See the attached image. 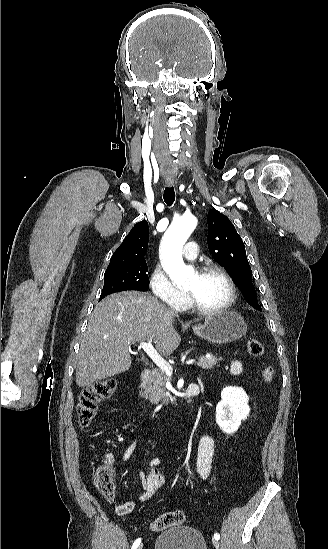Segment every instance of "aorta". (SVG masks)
<instances>
[{
	"instance_id": "762f6f07",
	"label": "aorta",
	"mask_w": 328,
	"mask_h": 549,
	"mask_svg": "<svg viewBox=\"0 0 328 549\" xmlns=\"http://www.w3.org/2000/svg\"><path fill=\"white\" fill-rule=\"evenodd\" d=\"M197 225L192 215H184L173 220L161 243L162 265L172 282L182 287L193 279L194 269L184 264L182 248Z\"/></svg>"
}]
</instances>
